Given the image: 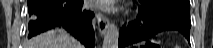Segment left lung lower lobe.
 Wrapping results in <instances>:
<instances>
[{"mask_svg": "<svg viewBox=\"0 0 213 48\" xmlns=\"http://www.w3.org/2000/svg\"><path fill=\"white\" fill-rule=\"evenodd\" d=\"M137 19L120 30L119 48L148 39L163 30H177L190 43L189 7L170 0H140Z\"/></svg>", "mask_w": 213, "mask_h": 48, "instance_id": "0a47b994", "label": "left lung lower lobe"}]
</instances>
